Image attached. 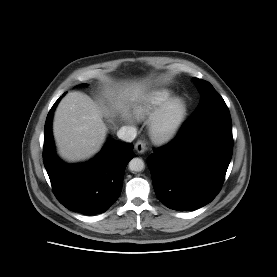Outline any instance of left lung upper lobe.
I'll return each instance as SVG.
<instances>
[{
    "label": "left lung upper lobe",
    "instance_id": "5c2ea615",
    "mask_svg": "<svg viewBox=\"0 0 277 277\" xmlns=\"http://www.w3.org/2000/svg\"><path fill=\"white\" fill-rule=\"evenodd\" d=\"M193 80L202 93V96L199 105L192 115L199 114L213 107L226 106L223 98L217 93L210 83L198 78H193Z\"/></svg>",
    "mask_w": 277,
    "mask_h": 277
}]
</instances>
